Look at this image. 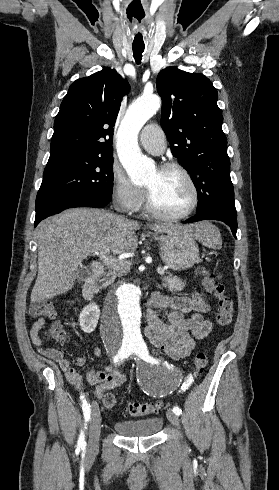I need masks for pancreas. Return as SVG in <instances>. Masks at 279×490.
I'll use <instances>...</instances> for the list:
<instances>
[{
    "mask_svg": "<svg viewBox=\"0 0 279 490\" xmlns=\"http://www.w3.org/2000/svg\"><path fill=\"white\" fill-rule=\"evenodd\" d=\"M131 270V264L130 262H126L124 266L122 264H118L117 268H113V270H110L109 280L111 282H114L116 276H122V274H127V272H130ZM163 286L165 288H169V290H172V292H175V290H182L185 286V282H182V280H179L177 276H173V274H168V276H163Z\"/></svg>",
    "mask_w": 279,
    "mask_h": 490,
    "instance_id": "pancreas-1",
    "label": "pancreas"
}]
</instances>
